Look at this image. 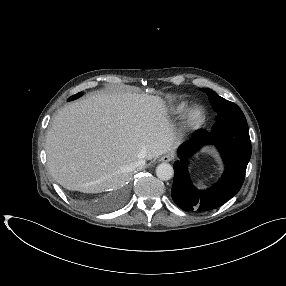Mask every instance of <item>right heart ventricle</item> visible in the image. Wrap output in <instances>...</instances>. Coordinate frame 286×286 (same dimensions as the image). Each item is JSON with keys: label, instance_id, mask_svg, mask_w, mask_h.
<instances>
[{"label": "right heart ventricle", "instance_id": "e07e8e85", "mask_svg": "<svg viewBox=\"0 0 286 286\" xmlns=\"http://www.w3.org/2000/svg\"><path fill=\"white\" fill-rule=\"evenodd\" d=\"M189 105L187 102H177L167 107L166 114L171 117H181L188 110Z\"/></svg>", "mask_w": 286, "mask_h": 286}]
</instances>
